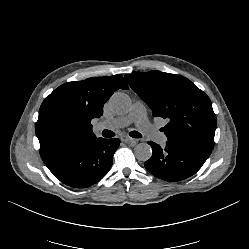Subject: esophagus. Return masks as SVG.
Here are the masks:
<instances>
[{"label":"esophagus","instance_id":"1","mask_svg":"<svg viewBox=\"0 0 249 249\" xmlns=\"http://www.w3.org/2000/svg\"><path fill=\"white\" fill-rule=\"evenodd\" d=\"M121 141H122V142H125V143H132V142H134L135 140H134L133 138H131V137H128V136H122V137H121Z\"/></svg>","mask_w":249,"mask_h":249}]
</instances>
